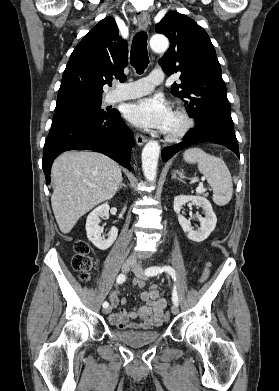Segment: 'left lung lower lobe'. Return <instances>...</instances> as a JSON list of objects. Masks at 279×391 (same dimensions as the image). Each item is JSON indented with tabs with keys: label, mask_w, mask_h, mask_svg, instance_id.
Instances as JSON below:
<instances>
[{
	"label": "left lung lower lobe",
	"mask_w": 279,
	"mask_h": 391,
	"mask_svg": "<svg viewBox=\"0 0 279 391\" xmlns=\"http://www.w3.org/2000/svg\"><path fill=\"white\" fill-rule=\"evenodd\" d=\"M202 142L224 145L239 157L238 142L233 125L216 119H206L187 132L181 143L164 148L161 153L162 159L167 161L181 149Z\"/></svg>",
	"instance_id": "left-lung-lower-lobe-1"
}]
</instances>
